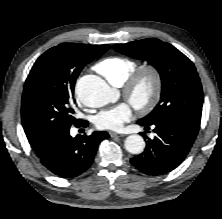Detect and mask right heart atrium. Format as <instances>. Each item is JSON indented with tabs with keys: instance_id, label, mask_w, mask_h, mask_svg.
Instances as JSON below:
<instances>
[{
	"instance_id": "1",
	"label": "right heart atrium",
	"mask_w": 222,
	"mask_h": 219,
	"mask_svg": "<svg viewBox=\"0 0 222 219\" xmlns=\"http://www.w3.org/2000/svg\"><path fill=\"white\" fill-rule=\"evenodd\" d=\"M79 98H80L81 100L83 99L81 95L79 96Z\"/></svg>"
}]
</instances>
